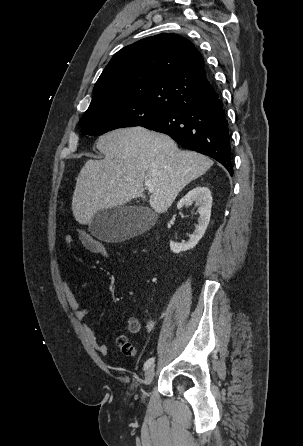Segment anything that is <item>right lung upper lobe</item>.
<instances>
[{
    "instance_id": "cb5924a9",
    "label": "right lung upper lobe",
    "mask_w": 303,
    "mask_h": 446,
    "mask_svg": "<svg viewBox=\"0 0 303 446\" xmlns=\"http://www.w3.org/2000/svg\"><path fill=\"white\" fill-rule=\"evenodd\" d=\"M213 87L194 44L176 34H159L118 51L94 86L88 109L140 102L172 108Z\"/></svg>"
}]
</instances>
